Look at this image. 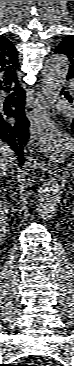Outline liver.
Wrapping results in <instances>:
<instances>
[{
    "label": "liver",
    "instance_id": "liver-1",
    "mask_svg": "<svg viewBox=\"0 0 74 366\" xmlns=\"http://www.w3.org/2000/svg\"><path fill=\"white\" fill-rule=\"evenodd\" d=\"M15 159L14 151L7 144L0 142V174L5 176Z\"/></svg>",
    "mask_w": 74,
    "mask_h": 366
}]
</instances>
